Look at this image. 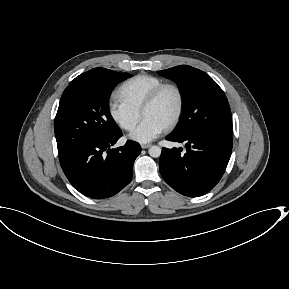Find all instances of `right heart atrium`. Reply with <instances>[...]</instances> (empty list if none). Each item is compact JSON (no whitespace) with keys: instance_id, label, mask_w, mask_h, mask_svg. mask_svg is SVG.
<instances>
[{"instance_id":"d8ad5b80","label":"right heart atrium","mask_w":289,"mask_h":289,"mask_svg":"<svg viewBox=\"0 0 289 289\" xmlns=\"http://www.w3.org/2000/svg\"><path fill=\"white\" fill-rule=\"evenodd\" d=\"M108 113L111 119L123 130L131 131L139 122L141 114L122 102L112 99L108 103Z\"/></svg>"}]
</instances>
